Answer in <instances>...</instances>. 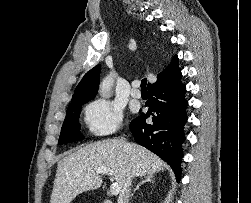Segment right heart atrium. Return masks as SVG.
<instances>
[{
	"label": "right heart atrium",
	"mask_w": 251,
	"mask_h": 203,
	"mask_svg": "<svg viewBox=\"0 0 251 203\" xmlns=\"http://www.w3.org/2000/svg\"><path fill=\"white\" fill-rule=\"evenodd\" d=\"M122 118V110L104 99L94 100L85 110L90 132L101 137L115 133L121 126Z\"/></svg>",
	"instance_id": "1"
}]
</instances>
